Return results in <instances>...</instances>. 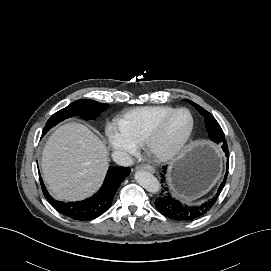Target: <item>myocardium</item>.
<instances>
[{"label":"myocardium","instance_id":"1","mask_svg":"<svg viewBox=\"0 0 271 271\" xmlns=\"http://www.w3.org/2000/svg\"><path fill=\"white\" fill-rule=\"evenodd\" d=\"M180 112L188 113L191 119V125L187 135L175 145L165 148H159L157 144L159 140L163 137L170 121L176 114ZM194 131H195V118L193 113L188 108L184 107L176 108L172 112H170L146 137V139L142 143L143 149L146 152V154L155 161L158 162L171 161L177 156H179L187 148V146L189 145L193 138Z\"/></svg>","mask_w":271,"mask_h":271}]
</instances>
